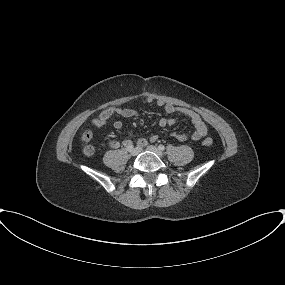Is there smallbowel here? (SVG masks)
I'll list each match as a JSON object with an SVG mask.
<instances>
[{
	"instance_id": "1",
	"label": "small bowel",
	"mask_w": 285,
	"mask_h": 285,
	"mask_svg": "<svg viewBox=\"0 0 285 285\" xmlns=\"http://www.w3.org/2000/svg\"><path fill=\"white\" fill-rule=\"evenodd\" d=\"M143 102L144 103H152V102L156 103L159 107H161L164 110L166 116L178 114V115L188 118L191 121L195 129L194 132L191 135H188L186 133H181V132H174L172 134V137L175 138L177 141L184 142L188 139H191L193 141H199L207 135L206 123L204 122V120L201 118V116L197 112L189 108L175 106L161 99H155L152 97H145L143 99ZM114 112L117 115L124 117V118H130L137 114L136 110L132 108H122V107H116L114 109ZM107 119H108L107 114L105 112H102L99 114L98 117L94 118L91 121V126L94 128H101L107 123ZM174 123H175L174 119L169 118V117H164L160 119L159 126L162 128H168V127H171ZM112 125L117 130L122 128V122L119 120L114 121ZM157 138H158L157 135H152L149 141L154 142L157 140ZM129 143H131L130 140H123L122 142L117 141V140H112L110 141L109 144L112 148H119L121 145L127 146ZM147 144H148V140L146 138L140 137L137 139L138 146L144 148Z\"/></svg>"
}]
</instances>
